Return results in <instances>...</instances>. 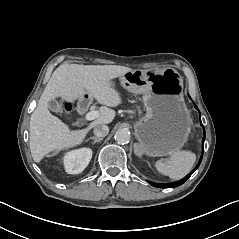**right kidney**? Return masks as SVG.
I'll list each match as a JSON object with an SVG mask.
<instances>
[{
	"mask_svg": "<svg viewBox=\"0 0 239 239\" xmlns=\"http://www.w3.org/2000/svg\"><path fill=\"white\" fill-rule=\"evenodd\" d=\"M91 158L92 150L90 148L69 151L63 158L65 171L68 174H79L88 166Z\"/></svg>",
	"mask_w": 239,
	"mask_h": 239,
	"instance_id": "right-kidney-1",
	"label": "right kidney"
}]
</instances>
